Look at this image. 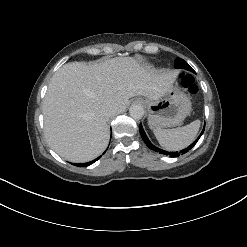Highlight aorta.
Wrapping results in <instances>:
<instances>
[{
    "mask_svg": "<svg viewBox=\"0 0 247 247\" xmlns=\"http://www.w3.org/2000/svg\"><path fill=\"white\" fill-rule=\"evenodd\" d=\"M130 116L134 119H141L144 115V108L139 104H134L129 109Z\"/></svg>",
    "mask_w": 247,
    "mask_h": 247,
    "instance_id": "obj_1",
    "label": "aorta"
}]
</instances>
